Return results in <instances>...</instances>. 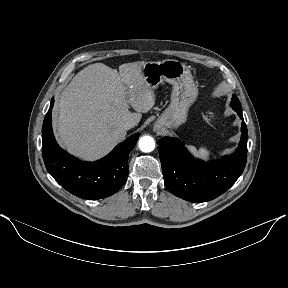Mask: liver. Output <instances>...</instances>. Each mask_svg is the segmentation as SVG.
Returning <instances> with one entry per match:
<instances>
[{
    "label": "liver",
    "mask_w": 288,
    "mask_h": 288,
    "mask_svg": "<svg viewBox=\"0 0 288 288\" xmlns=\"http://www.w3.org/2000/svg\"><path fill=\"white\" fill-rule=\"evenodd\" d=\"M144 62L85 67L62 91L54 120L59 142L73 155L95 160L126 137L123 124L141 120L155 105V94L142 77ZM131 106L136 113L129 111Z\"/></svg>",
    "instance_id": "liver-1"
}]
</instances>
